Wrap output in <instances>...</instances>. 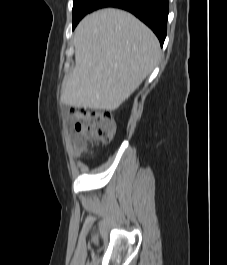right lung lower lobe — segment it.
I'll return each instance as SVG.
<instances>
[{"label": "right lung lower lobe", "mask_w": 227, "mask_h": 265, "mask_svg": "<svg viewBox=\"0 0 227 265\" xmlns=\"http://www.w3.org/2000/svg\"><path fill=\"white\" fill-rule=\"evenodd\" d=\"M105 7L131 12L153 30L163 45L169 12L168 0H98L93 11Z\"/></svg>", "instance_id": "98d812e1"}]
</instances>
